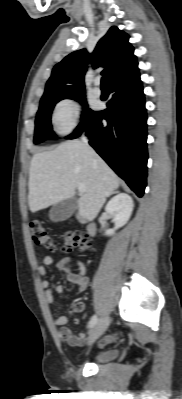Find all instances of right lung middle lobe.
Here are the masks:
<instances>
[{
    "label": "right lung middle lobe",
    "mask_w": 182,
    "mask_h": 399,
    "mask_svg": "<svg viewBox=\"0 0 182 399\" xmlns=\"http://www.w3.org/2000/svg\"><path fill=\"white\" fill-rule=\"evenodd\" d=\"M62 99H74L81 102L84 107L85 111L82 114L81 123L77 127V131L81 130L90 115L93 113L92 110L87 108L85 95L78 94V95H63V96H56L51 98L42 99L40 101V107L37 112L36 121H35V136H34V143H40L46 139L55 138L54 132L52 131L51 126V113L52 110L57 102Z\"/></svg>",
    "instance_id": "1"
}]
</instances>
